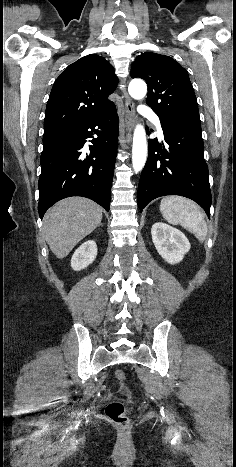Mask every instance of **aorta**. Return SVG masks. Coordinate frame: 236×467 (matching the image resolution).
Returning a JSON list of instances; mask_svg holds the SVG:
<instances>
[{"label":"aorta","instance_id":"aorta-1","mask_svg":"<svg viewBox=\"0 0 236 467\" xmlns=\"http://www.w3.org/2000/svg\"><path fill=\"white\" fill-rule=\"evenodd\" d=\"M129 94L137 100L143 99L147 93V85L141 79H133L128 87ZM147 159L146 132L141 124L134 130L132 146V166L137 173L141 171Z\"/></svg>","mask_w":236,"mask_h":467}]
</instances>
